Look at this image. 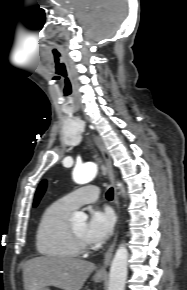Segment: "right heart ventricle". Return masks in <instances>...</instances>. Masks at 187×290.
<instances>
[{
  "instance_id": "right-heart-ventricle-1",
  "label": "right heart ventricle",
  "mask_w": 187,
  "mask_h": 290,
  "mask_svg": "<svg viewBox=\"0 0 187 290\" xmlns=\"http://www.w3.org/2000/svg\"><path fill=\"white\" fill-rule=\"evenodd\" d=\"M74 209L62 200L50 204L42 213L36 230V248L48 258L70 259L78 252L68 234L69 218Z\"/></svg>"
}]
</instances>
